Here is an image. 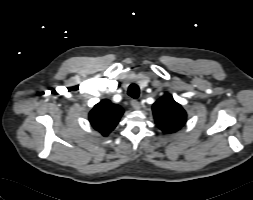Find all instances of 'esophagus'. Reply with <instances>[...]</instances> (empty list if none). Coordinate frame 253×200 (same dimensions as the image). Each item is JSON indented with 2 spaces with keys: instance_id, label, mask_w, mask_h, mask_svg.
Returning <instances> with one entry per match:
<instances>
[{
  "instance_id": "obj_1",
  "label": "esophagus",
  "mask_w": 253,
  "mask_h": 200,
  "mask_svg": "<svg viewBox=\"0 0 253 200\" xmlns=\"http://www.w3.org/2000/svg\"><path fill=\"white\" fill-rule=\"evenodd\" d=\"M130 103L135 110H139L141 108L140 103L135 99H132Z\"/></svg>"
}]
</instances>
